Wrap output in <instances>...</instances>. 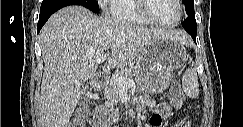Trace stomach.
I'll list each match as a JSON object with an SVG mask.
<instances>
[{"mask_svg":"<svg viewBox=\"0 0 243 127\" xmlns=\"http://www.w3.org/2000/svg\"><path fill=\"white\" fill-rule=\"evenodd\" d=\"M187 59L181 43L165 37L153 39L138 56L135 80L149 92H160L169 86L174 71Z\"/></svg>","mask_w":243,"mask_h":127,"instance_id":"1","label":"stomach"}]
</instances>
